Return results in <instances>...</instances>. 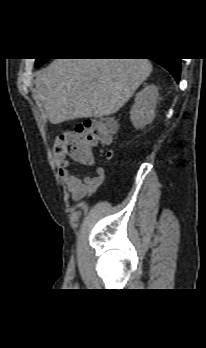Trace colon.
Returning a JSON list of instances; mask_svg holds the SVG:
<instances>
[{"instance_id": "colon-1", "label": "colon", "mask_w": 206, "mask_h": 348, "mask_svg": "<svg viewBox=\"0 0 206 348\" xmlns=\"http://www.w3.org/2000/svg\"><path fill=\"white\" fill-rule=\"evenodd\" d=\"M116 125L107 118L100 117L78 124L73 131L62 133L55 144L59 156L69 157L75 162L88 164L93 158V148L109 144ZM108 157L111 156L109 152Z\"/></svg>"}]
</instances>
